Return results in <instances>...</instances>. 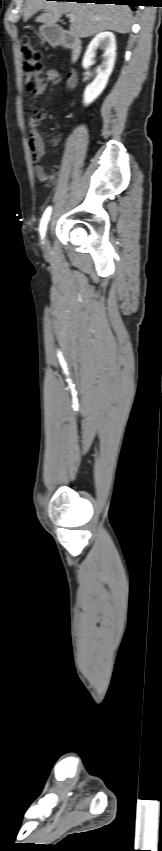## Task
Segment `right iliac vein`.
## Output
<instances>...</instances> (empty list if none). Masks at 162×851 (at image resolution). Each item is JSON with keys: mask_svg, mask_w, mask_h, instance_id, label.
<instances>
[{"mask_svg": "<svg viewBox=\"0 0 162 851\" xmlns=\"http://www.w3.org/2000/svg\"><path fill=\"white\" fill-rule=\"evenodd\" d=\"M43 248H44L45 252H47L49 250V243H48L47 238H45V240H44Z\"/></svg>", "mask_w": 162, "mask_h": 851, "instance_id": "63e3f726", "label": "right iliac vein"}]
</instances>
